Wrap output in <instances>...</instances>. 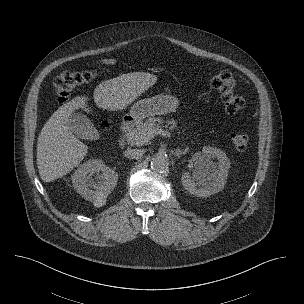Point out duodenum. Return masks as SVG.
<instances>
[{
	"label": "duodenum",
	"instance_id": "1",
	"mask_svg": "<svg viewBox=\"0 0 304 304\" xmlns=\"http://www.w3.org/2000/svg\"><path fill=\"white\" fill-rule=\"evenodd\" d=\"M135 124V119L132 117H126L120 128V138H119V146L124 147L126 144V136L128 132L133 128Z\"/></svg>",
	"mask_w": 304,
	"mask_h": 304
}]
</instances>
